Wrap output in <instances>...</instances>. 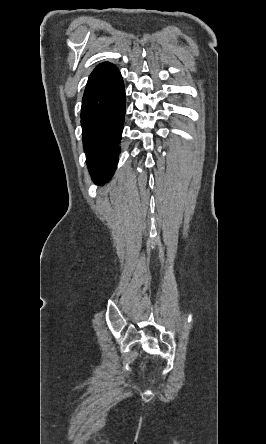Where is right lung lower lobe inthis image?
<instances>
[{
    "label": "right lung lower lobe",
    "instance_id": "obj_1",
    "mask_svg": "<svg viewBox=\"0 0 266 444\" xmlns=\"http://www.w3.org/2000/svg\"><path fill=\"white\" fill-rule=\"evenodd\" d=\"M125 102L118 68L107 62L98 65L89 76L81 108L86 162L97 184L109 180L116 168Z\"/></svg>",
    "mask_w": 266,
    "mask_h": 444
}]
</instances>
